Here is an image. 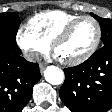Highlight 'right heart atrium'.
Returning a JSON list of instances; mask_svg holds the SVG:
<instances>
[{"instance_id": "1", "label": "right heart atrium", "mask_w": 112, "mask_h": 112, "mask_svg": "<svg viewBox=\"0 0 112 112\" xmlns=\"http://www.w3.org/2000/svg\"><path fill=\"white\" fill-rule=\"evenodd\" d=\"M16 43L29 61L36 60L49 49V44L39 38L28 26H21L17 30Z\"/></svg>"}]
</instances>
